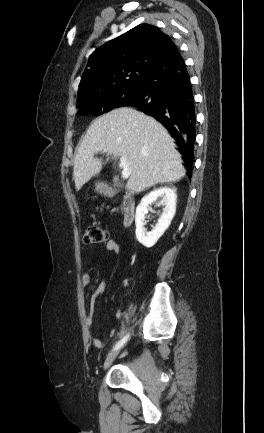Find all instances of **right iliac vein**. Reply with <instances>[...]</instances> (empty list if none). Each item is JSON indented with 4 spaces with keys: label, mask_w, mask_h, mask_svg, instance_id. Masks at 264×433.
<instances>
[{
    "label": "right iliac vein",
    "mask_w": 264,
    "mask_h": 433,
    "mask_svg": "<svg viewBox=\"0 0 264 433\" xmlns=\"http://www.w3.org/2000/svg\"><path fill=\"white\" fill-rule=\"evenodd\" d=\"M120 352V349L114 350L111 353H109V355L107 356L104 365H103V369L106 370L107 368H109L111 366V364L113 363V361L116 359V357L118 356Z\"/></svg>",
    "instance_id": "obj_1"
}]
</instances>
